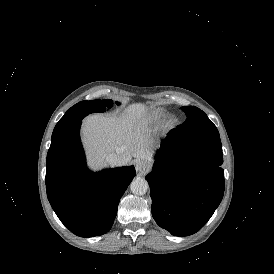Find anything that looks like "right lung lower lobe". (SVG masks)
Segmentation results:
<instances>
[{
  "mask_svg": "<svg viewBox=\"0 0 274 274\" xmlns=\"http://www.w3.org/2000/svg\"><path fill=\"white\" fill-rule=\"evenodd\" d=\"M82 119L51 140L45 181L48 200L61 222L80 237H92L112 227L120 198L135 176V169L131 166L89 172L79 137Z\"/></svg>",
  "mask_w": 274,
  "mask_h": 274,
  "instance_id": "98d812e1",
  "label": "right lung lower lobe"
}]
</instances>
